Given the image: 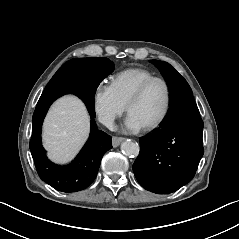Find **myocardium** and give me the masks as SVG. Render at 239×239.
I'll use <instances>...</instances> for the list:
<instances>
[{
  "mask_svg": "<svg viewBox=\"0 0 239 239\" xmlns=\"http://www.w3.org/2000/svg\"><path fill=\"white\" fill-rule=\"evenodd\" d=\"M154 82H161L164 85L166 90V103L164 110L162 114L159 116V118L155 120L153 123L144 126V130L146 131H151L160 127L165 122L170 113L172 106V90L169 82L162 77L156 76L147 79L134 91V93L131 95L126 105L127 112L130 113V109L132 108V106L142 98L148 87Z\"/></svg>",
  "mask_w": 239,
  "mask_h": 239,
  "instance_id": "myocardium-1",
  "label": "myocardium"
}]
</instances>
